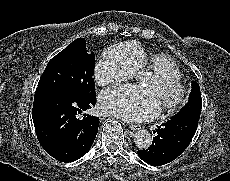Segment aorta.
Returning a JSON list of instances; mask_svg holds the SVG:
<instances>
[{"instance_id": "762f6f07", "label": "aorta", "mask_w": 230, "mask_h": 181, "mask_svg": "<svg viewBox=\"0 0 230 181\" xmlns=\"http://www.w3.org/2000/svg\"><path fill=\"white\" fill-rule=\"evenodd\" d=\"M134 141L138 148L147 149L152 144V135L149 131L142 129L135 133Z\"/></svg>"}]
</instances>
